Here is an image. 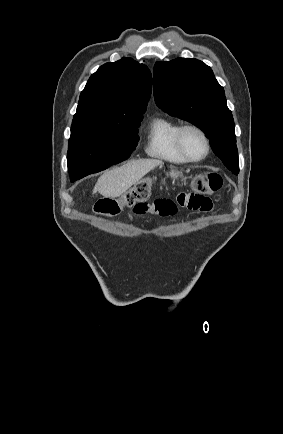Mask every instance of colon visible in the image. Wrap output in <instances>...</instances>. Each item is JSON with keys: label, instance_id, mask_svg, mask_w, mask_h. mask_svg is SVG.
Returning a JSON list of instances; mask_svg holds the SVG:
<instances>
[{"label": "colon", "instance_id": "colon-1", "mask_svg": "<svg viewBox=\"0 0 283 434\" xmlns=\"http://www.w3.org/2000/svg\"><path fill=\"white\" fill-rule=\"evenodd\" d=\"M193 186L196 192L203 194H211L216 192L222 186V178L214 172H204L194 178ZM152 181L144 179L127 192L119 199H102L97 202L95 211L100 215L115 216L125 207H132L138 203L144 202L151 194Z\"/></svg>", "mask_w": 283, "mask_h": 434}]
</instances>
